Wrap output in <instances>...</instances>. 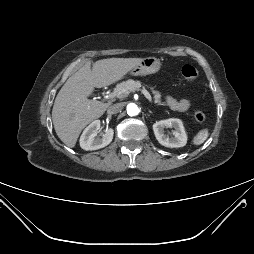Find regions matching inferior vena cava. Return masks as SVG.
<instances>
[{"instance_id":"602c4592","label":"inferior vena cava","mask_w":254,"mask_h":254,"mask_svg":"<svg viewBox=\"0 0 254 254\" xmlns=\"http://www.w3.org/2000/svg\"><path fill=\"white\" fill-rule=\"evenodd\" d=\"M123 109V105L121 103H116L108 107V114H116Z\"/></svg>"}]
</instances>
